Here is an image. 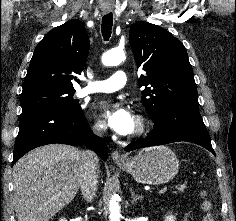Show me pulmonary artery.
I'll use <instances>...</instances> for the list:
<instances>
[{"mask_svg":"<svg viewBox=\"0 0 236 221\" xmlns=\"http://www.w3.org/2000/svg\"><path fill=\"white\" fill-rule=\"evenodd\" d=\"M127 82V74L118 70L109 78L90 82L86 87L78 91V95L85 96L91 93H110L122 89Z\"/></svg>","mask_w":236,"mask_h":221,"instance_id":"1","label":"pulmonary artery"}]
</instances>
